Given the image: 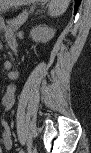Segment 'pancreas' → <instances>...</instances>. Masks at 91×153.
Here are the masks:
<instances>
[{
    "label": "pancreas",
    "instance_id": "obj_1",
    "mask_svg": "<svg viewBox=\"0 0 91 153\" xmlns=\"http://www.w3.org/2000/svg\"><path fill=\"white\" fill-rule=\"evenodd\" d=\"M27 17H28V14L24 15V13H23V14L19 15L16 19L9 20L7 23L9 26H11L15 30H17L18 26L22 25L25 22Z\"/></svg>",
    "mask_w": 91,
    "mask_h": 153
}]
</instances>
